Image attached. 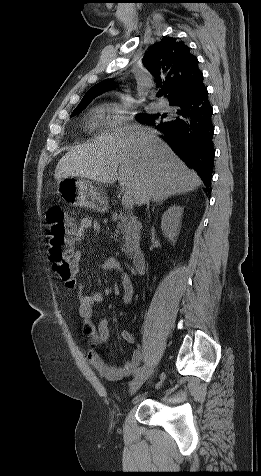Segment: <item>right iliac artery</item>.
Masks as SVG:
<instances>
[{
    "mask_svg": "<svg viewBox=\"0 0 261 476\" xmlns=\"http://www.w3.org/2000/svg\"><path fill=\"white\" fill-rule=\"evenodd\" d=\"M145 367L144 366H141L139 367L136 371H135V375L137 376L138 374L142 373L144 371Z\"/></svg>",
    "mask_w": 261,
    "mask_h": 476,
    "instance_id": "right-iliac-artery-1",
    "label": "right iliac artery"
}]
</instances>
